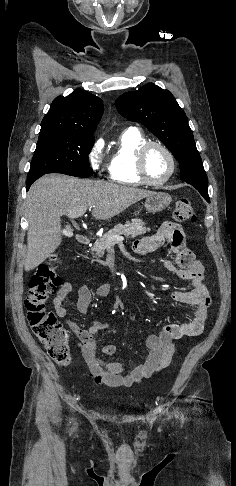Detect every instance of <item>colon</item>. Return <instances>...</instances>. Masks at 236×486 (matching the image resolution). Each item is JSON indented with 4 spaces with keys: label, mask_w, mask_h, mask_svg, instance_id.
<instances>
[{
    "label": "colon",
    "mask_w": 236,
    "mask_h": 486,
    "mask_svg": "<svg viewBox=\"0 0 236 486\" xmlns=\"http://www.w3.org/2000/svg\"><path fill=\"white\" fill-rule=\"evenodd\" d=\"M174 218L179 222L196 220V212L189 200L179 199L176 202ZM57 270L56 256H52L47 262L38 266L29 282L25 307L28 323L35 336L44 345L53 361L65 366L71 359L68 333L58 322L56 315L46 309L47 299L61 284Z\"/></svg>",
    "instance_id": "obj_1"
}]
</instances>
